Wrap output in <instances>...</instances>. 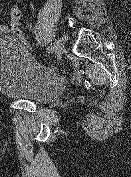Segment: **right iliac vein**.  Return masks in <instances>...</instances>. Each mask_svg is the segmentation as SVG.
Masks as SVG:
<instances>
[{
  "label": "right iliac vein",
  "mask_w": 131,
  "mask_h": 177,
  "mask_svg": "<svg viewBox=\"0 0 131 177\" xmlns=\"http://www.w3.org/2000/svg\"><path fill=\"white\" fill-rule=\"evenodd\" d=\"M54 48H55L56 52H60V51L63 50L64 46H63V44L59 40H56L54 42Z\"/></svg>",
  "instance_id": "right-iliac-vein-1"
}]
</instances>
